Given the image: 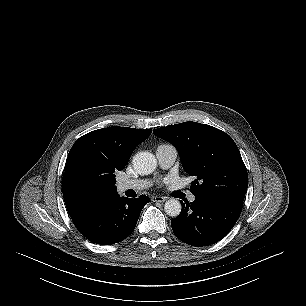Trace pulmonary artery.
<instances>
[{
	"mask_svg": "<svg viewBox=\"0 0 306 306\" xmlns=\"http://www.w3.org/2000/svg\"><path fill=\"white\" fill-rule=\"evenodd\" d=\"M156 157L162 168H168L175 162L177 151L172 145L162 144L156 148ZM150 184V181L143 179L120 180L117 183V190L119 192H124L129 189L143 190L148 188ZM189 200L192 202L195 200V197L192 195Z\"/></svg>",
	"mask_w": 306,
	"mask_h": 306,
	"instance_id": "obj_1",
	"label": "pulmonary artery"
}]
</instances>
